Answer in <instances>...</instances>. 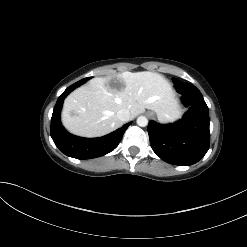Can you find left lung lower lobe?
I'll return each instance as SVG.
<instances>
[{
	"instance_id": "0a47b994",
	"label": "left lung lower lobe",
	"mask_w": 247,
	"mask_h": 247,
	"mask_svg": "<svg viewBox=\"0 0 247 247\" xmlns=\"http://www.w3.org/2000/svg\"><path fill=\"white\" fill-rule=\"evenodd\" d=\"M172 80L189 109L180 121L173 124L161 125L151 120L148 124L150 144L164 161L174 165H192L209 149L208 107L195 86L175 78Z\"/></svg>"
}]
</instances>
